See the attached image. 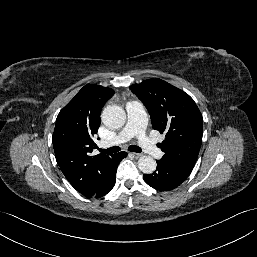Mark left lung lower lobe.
I'll use <instances>...</instances> for the list:
<instances>
[{
    "mask_svg": "<svg viewBox=\"0 0 257 257\" xmlns=\"http://www.w3.org/2000/svg\"><path fill=\"white\" fill-rule=\"evenodd\" d=\"M190 172L163 160L157 161L156 171L152 174H144V181L152 188L160 191H169L183 183Z\"/></svg>",
    "mask_w": 257,
    "mask_h": 257,
    "instance_id": "0a47b994",
    "label": "left lung lower lobe"
}]
</instances>
